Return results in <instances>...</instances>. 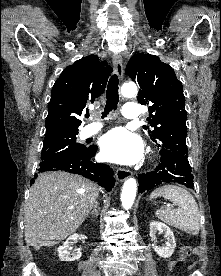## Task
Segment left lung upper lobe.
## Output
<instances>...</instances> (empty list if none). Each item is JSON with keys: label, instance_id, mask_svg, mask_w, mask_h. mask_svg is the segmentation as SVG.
<instances>
[{"label": "left lung upper lobe", "instance_id": "obj_1", "mask_svg": "<svg viewBox=\"0 0 221 276\" xmlns=\"http://www.w3.org/2000/svg\"><path fill=\"white\" fill-rule=\"evenodd\" d=\"M125 74L140 86L138 102L151 105L147 120L152 129L143 128L153 142L161 149L187 152L185 97L174 70L155 55L139 53L131 57Z\"/></svg>", "mask_w": 221, "mask_h": 276}]
</instances>
